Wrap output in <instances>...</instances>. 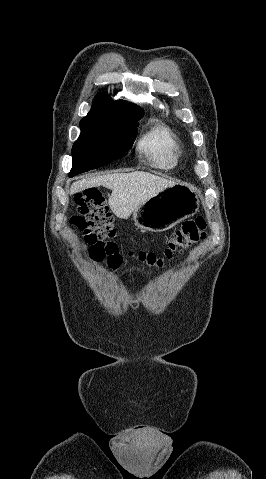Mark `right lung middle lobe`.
Segmentation results:
<instances>
[{
	"mask_svg": "<svg viewBox=\"0 0 266 479\" xmlns=\"http://www.w3.org/2000/svg\"><path fill=\"white\" fill-rule=\"evenodd\" d=\"M137 121L81 120V134L72 147L73 165L69 176L120 158L134 142Z\"/></svg>",
	"mask_w": 266,
	"mask_h": 479,
	"instance_id": "1",
	"label": "right lung middle lobe"
}]
</instances>
